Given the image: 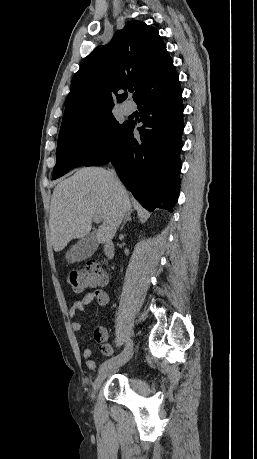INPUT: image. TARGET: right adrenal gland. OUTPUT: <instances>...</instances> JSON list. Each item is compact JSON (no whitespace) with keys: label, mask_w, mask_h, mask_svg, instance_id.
<instances>
[{"label":"right adrenal gland","mask_w":257,"mask_h":459,"mask_svg":"<svg viewBox=\"0 0 257 459\" xmlns=\"http://www.w3.org/2000/svg\"><path fill=\"white\" fill-rule=\"evenodd\" d=\"M131 220H132V218H131V212L126 213L125 216H124V220H123V222H122V225H121V227H120V230H122V229L124 228V225H125L128 221H131Z\"/></svg>","instance_id":"obj_1"}]
</instances>
